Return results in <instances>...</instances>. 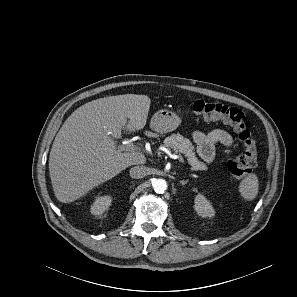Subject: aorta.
I'll return each instance as SVG.
<instances>
[{"label": "aorta", "mask_w": 297, "mask_h": 297, "mask_svg": "<svg viewBox=\"0 0 297 297\" xmlns=\"http://www.w3.org/2000/svg\"><path fill=\"white\" fill-rule=\"evenodd\" d=\"M153 188L156 193L162 194L167 189V183L164 179H157L153 182Z\"/></svg>", "instance_id": "aorta-1"}]
</instances>
